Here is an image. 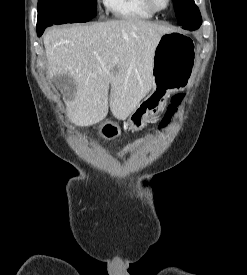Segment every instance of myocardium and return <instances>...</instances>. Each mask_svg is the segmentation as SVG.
Segmentation results:
<instances>
[{"mask_svg":"<svg viewBox=\"0 0 247 275\" xmlns=\"http://www.w3.org/2000/svg\"><path fill=\"white\" fill-rule=\"evenodd\" d=\"M144 1H145L146 5H147L152 11H154L155 13H156V12H163V11H166V10L170 7V5H171V0H167L166 5H165V7H163V8L157 7L156 4H155V2H154V0H144Z\"/></svg>","mask_w":247,"mask_h":275,"instance_id":"1","label":"myocardium"}]
</instances>
